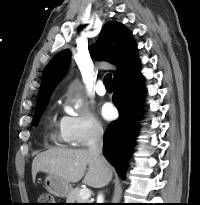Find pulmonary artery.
Returning <instances> with one entry per match:
<instances>
[{
  "label": "pulmonary artery",
  "mask_w": 200,
  "mask_h": 205,
  "mask_svg": "<svg viewBox=\"0 0 200 205\" xmlns=\"http://www.w3.org/2000/svg\"><path fill=\"white\" fill-rule=\"evenodd\" d=\"M95 91L98 95L103 96L106 94V89L102 81H98L95 86Z\"/></svg>",
  "instance_id": "pulmonary-artery-1"
}]
</instances>
